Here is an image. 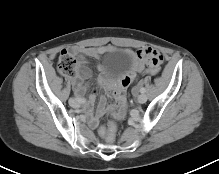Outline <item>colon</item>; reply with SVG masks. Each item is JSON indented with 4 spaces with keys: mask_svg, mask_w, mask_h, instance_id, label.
<instances>
[{
    "mask_svg": "<svg viewBox=\"0 0 219 174\" xmlns=\"http://www.w3.org/2000/svg\"><path fill=\"white\" fill-rule=\"evenodd\" d=\"M78 64L76 59L67 51H62L58 60V70L65 76H74L77 73ZM144 73L156 76L160 73L159 67H148ZM98 133L109 144L115 141L117 127L114 122H109L99 128Z\"/></svg>",
    "mask_w": 219,
    "mask_h": 174,
    "instance_id": "colon-1",
    "label": "colon"
}]
</instances>
